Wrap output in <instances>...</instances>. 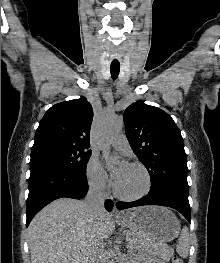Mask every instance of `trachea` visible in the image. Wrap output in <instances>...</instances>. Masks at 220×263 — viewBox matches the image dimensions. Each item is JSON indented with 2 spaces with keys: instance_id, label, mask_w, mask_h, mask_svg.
<instances>
[{
  "instance_id": "3493384b",
  "label": "trachea",
  "mask_w": 220,
  "mask_h": 263,
  "mask_svg": "<svg viewBox=\"0 0 220 263\" xmlns=\"http://www.w3.org/2000/svg\"><path fill=\"white\" fill-rule=\"evenodd\" d=\"M110 72H111L112 79L113 80L117 79L119 72H120V65L119 64H117V65L111 64Z\"/></svg>"
}]
</instances>
